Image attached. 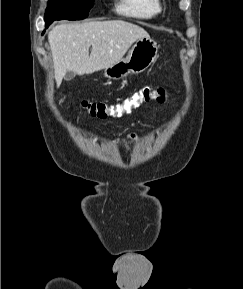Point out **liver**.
<instances>
[{
  "label": "liver",
  "mask_w": 243,
  "mask_h": 289,
  "mask_svg": "<svg viewBox=\"0 0 243 289\" xmlns=\"http://www.w3.org/2000/svg\"><path fill=\"white\" fill-rule=\"evenodd\" d=\"M143 37H149V34L142 27L123 20L55 26L48 34V41L57 87L67 71L91 74L115 64Z\"/></svg>",
  "instance_id": "obj_1"
}]
</instances>
